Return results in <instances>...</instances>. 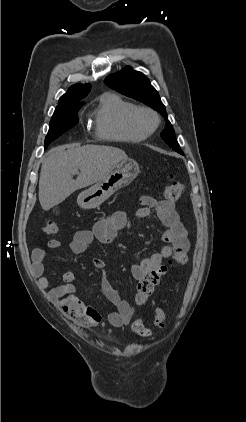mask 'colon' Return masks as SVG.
<instances>
[{
	"label": "colon",
	"mask_w": 246,
	"mask_h": 422,
	"mask_svg": "<svg viewBox=\"0 0 246 422\" xmlns=\"http://www.w3.org/2000/svg\"><path fill=\"white\" fill-rule=\"evenodd\" d=\"M184 191L183 185L171 178L166 185L164 195L168 200L175 201L179 199ZM47 235H55L58 232V226L54 222H46L42 228ZM188 262V256L185 253H178L174 255V263L169 262V265H162L146 273L138 280L136 303L139 306H144L148 298L153 293L155 287L159 284L161 278L168 272L169 268L174 264L185 265ZM153 321L157 327H163L166 321V315L160 307H155L153 313ZM132 330L141 336L149 335V329L144 325L142 319L138 318L132 323Z\"/></svg>",
	"instance_id": "obj_1"
}]
</instances>
